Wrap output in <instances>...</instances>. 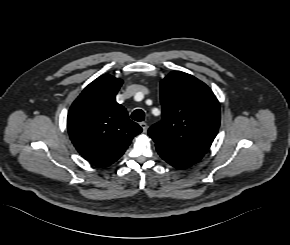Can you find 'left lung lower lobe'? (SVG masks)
<instances>
[{
  "label": "left lung lower lobe",
  "instance_id": "1",
  "mask_svg": "<svg viewBox=\"0 0 290 245\" xmlns=\"http://www.w3.org/2000/svg\"><path fill=\"white\" fill-rule=\"evenodd\" d=\"M157 148V151L159 153V155L169 164H171L172 166L178 168V169H184V168H188L191 165H193V163L178 159L170 154H167L165 151H163L162 149Z\"/></svg>",
  "mask_w": 290,
  "mask_h": 245
}]
</instances>
